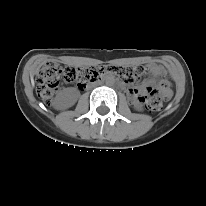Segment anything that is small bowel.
I'll list each match as a JSON object with an SVG mask.
<instances>
[{"label":"small bowel","instance_id":"obj_1","mask_svg":"<svg viewBox=\"0 0 206 206\" xmlns=\"http://www.w3.org/2000/svg\"><path fill=\"white\" fill-rule=\"evenodd\" d=\"M152 73L154 75H163L165 73V70L162 66L160 65H153L152 66ZM143 88H130L128 90L129 95L135 99L137 97L138 94H140L142 92Z\"/></svg>","mask_w":206,"mask_h":206}]
</instances>
